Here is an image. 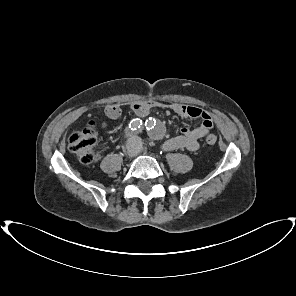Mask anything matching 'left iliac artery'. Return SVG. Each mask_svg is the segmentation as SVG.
Here are the masks:
<instances>
[{
  "mask_svg": "<svg viewBox=\"0 0 296 296\" xmlns=\"http://www.w3.org/2000/svg\"><path fill=\"white\" fill-rule=\"evenodd\" d=\"M147 121H148V120H147ZM147 121L145 122V127L147 126V127H146L147 130H149V129H148L149 123H147ZM152 128H153V127H152Z\"/></svg>",
  "mask_w": 296,
  "mask_h": 296,
  "instance_id": "obj_1",
  "label": "left iliac artery"
}]
</instances>
